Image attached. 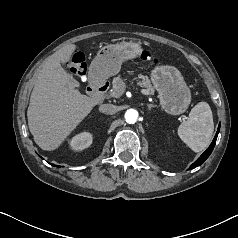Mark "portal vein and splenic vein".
Segmentation results:
<instances>
[{"label":"portal vein and splenic vein","mask_w":238,"mask_h":238,"mask_svg":"<svg viewBox=\"0 0 238 238\" xmlns=\"http://www.w3.org/2000/svg\"><path fill=\"white\" fill-rule=\"evenodd\" d=\"M140 92L144 95H150L149 91H147L146 89H141Z\"/></svg>","instance_id":"18ae733b"}]
</instances>
